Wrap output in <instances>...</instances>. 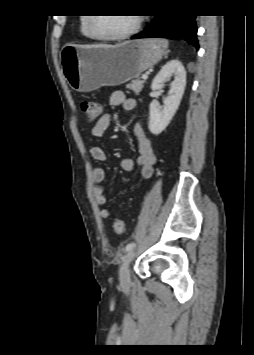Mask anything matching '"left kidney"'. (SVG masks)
I'll return each instance as SVG.
<instances>
[{
  "label": "left kidney",
  "instance_id": "1",
  "mask_svg": "<svg viewBox=\"0 0 254 355\" xmlns=\"http://www.w3.org/2000/svg\"><path fill=\"white\" fill-rule=\"evenodd\" d=\"M174 76L170 84L168 96L164 99L163 107L157 101L150 104L149 130L152 134L158 135L166 129L175 115L186 86V70L182 63L175 59L167 62L154 78L151 89L160 90L164 87L167 78Z\"/></svg>",
  "mask_w": 254,
  "mask_h": 355
}]
</instances>
